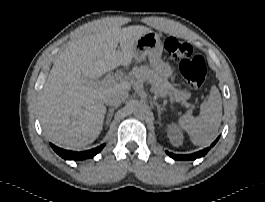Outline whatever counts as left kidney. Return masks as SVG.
Masks as SVG:
<instances>
[{
    "label": "left kidney",
    "mask_w": 265,
    "mask_h": 202,
    "mask_svg": "<svg viewBox=\"0 0 265 202\" xmlns=\"http://www.w3.org/2000/svg\"><path fill=\"white\" fill-rule=\"evenodd\" d=\"M167 135L172 145L180 146L183 143V134L180 128L172 123L167 126Z\"/></svg>",
    "instance_id": "obj_1"
}]
</instances>
